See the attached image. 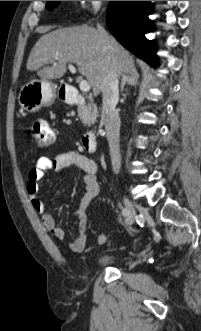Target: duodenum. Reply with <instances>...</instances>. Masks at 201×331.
<instances>
[{
  "label": "duodenum",
  "mask_w": 201,
  "mask_h": 331,
  "mask_svg": "<svg viewBox=\"0 0 201 331\" xmlns=\"http://www.w3.org/2000/svg\"><path fill=\"white\" fill-rule=\"evenodd\" d=\"M58 96L65 102L77 105L82 104L83 99L81 98L78 90L72 85H64L59 88ZM82 147L90 153H94L97 149L96 135L93 131L86 132L81 139Z\"/></svg>",
  "instance_id": "obj_1"
}]
</instances>
